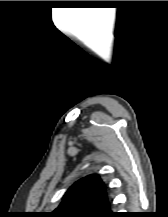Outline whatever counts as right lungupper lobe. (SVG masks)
Segmentation results:
<instances>
[{"label": "right lung upper lobe", "mask_w": 168, "mask_h": 217, "mask_svg": "<svg viewBox=\"0 0 168 217\" xmlns=\"http://www.w3.org/2000/svg\"><path fill=\"white\" fill-rule=\"evenodd\" d=\"M114 212L106 195L104 183L97 175H89L72 185L50 217H109Z\"/></svg>", "instance_id": "right-lung-upper-lobe-1"}]
</instances>
